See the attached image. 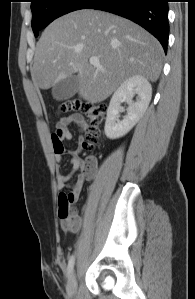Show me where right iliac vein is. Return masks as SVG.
I'll list each match as a JSON object with an SVG mask.
<instances>
[{
    "instance_id": "1",
    "label": "right iliac vein",
    "mask_w": 195,
    "mask_h": 299,
    "mask_svg": "<svg viewBox=\"0 0 195 299\" xmlns=\"http://www.w3.org/2000/svg\"><path fill=\"white\" fill-rule=\"evenodd\" d=\"M76 288H77L76 274L72 273L67 283V293L70 297H73L75 295Z\"/></svg>"
}]
</instances>
